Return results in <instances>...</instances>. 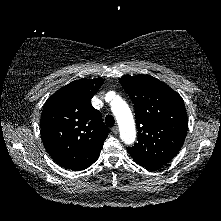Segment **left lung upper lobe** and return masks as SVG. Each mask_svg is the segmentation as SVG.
Wrapping results in <instances>:
<instances>
[{"label":"left lung upper lobe","instance_id":"left-lung-upper-lobe-1","mask_svg":"<svg viewBox=\"0 0 221 221\" xmlns=\"http://www.w3.org/2000/svg\"><path fill=\"white\" fill-rule=\"evenodd\" d=\"M135 106L138 143L127 148L137 163L165 165L180 151L188 119L181 96L150 75L119 79Z\"/></svg>","mask_w":221,"mask_h":221}]
</instances>
